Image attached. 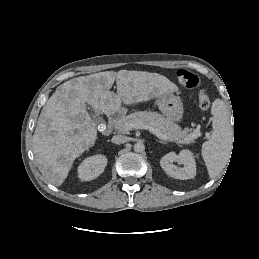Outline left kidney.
<instances>
[{"label":"left kidney","mask_w":259,"mask_h":259,"mask_svg":"<svg viewBox=\"0 0 259 259\" xmlns=\"http://www.w3.org/2000/svg\"><path fill=\"white\" fill-rule=\"evenodd\" d=\"M174 162L184 167L180 168ZM160 165L167 175L175 179L187 180L196 176V163L190 150L183 149L179 154L170 152L161 158Z\"/></svg>","instance_id":"5707ae66"}]
</instances>
